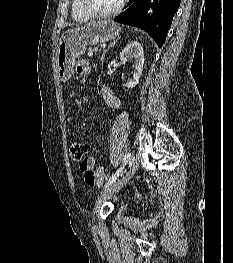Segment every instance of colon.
Returning a JSON list of instances; mask_svg holds the SVG:
<instances>
[{
  "label": "colon",
  "mask_w": 233,
  "mask_h": 263,
  "mask_svg": "<svg viewBox=\"0 0 233 263\" xmlns=\"http://www.w3.org/2000/svg\"><path fill=\"white\" fill-rule=\"evenodd\" d=\"M88 151H89V146L87 143L75 142L70 147V156L72 161L78 163L80 167L83 169L85 181H87V183L90 185H94V183L96 182V176L94 172L87 169L86 167ZM100 178L103 180L107 179V174L105 173V171L100 174Z\"/></svg>",
  "instance_id": "obj_1"
}]
</instances>
